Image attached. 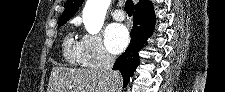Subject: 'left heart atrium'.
I'll list each match as a JSON object with an SVG mask.
<instances>
[{
  "mask_svg": "<svg viewBox=\"0 0 225 92\" xmlns=\"http://www.w3.org/2000/svg\"><path fill=\"white\" fill-rule=\"evenodd\" d=\"M129 42L128 29L122 24H112L105 32V44L107 49L118 54L122 52Z\"/></svg>",
  "mask_w": 225,
  "mask_h": 92,
  "instance_id": "1",
  "label": "left heart atrium"
}]
</instances>
